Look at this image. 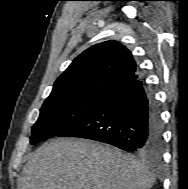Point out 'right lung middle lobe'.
Instances as JSON below:
<instances>
[{"mask_svg": "<svg viewBox=\"0 0 188 189\" xmlns=\"http://www.w3.org/2000/svg\"><path fill=\"white\" fill-rule=\"evenodd\" d=\"M110 92L101 89L50 95L32 128L31 144L57 136L79 121Z\"/></svg>", "mask_w": 188, "mask_h": 189, "instance_id": "obj_1", "label": "right lung middle lobe"}]
</instances>
